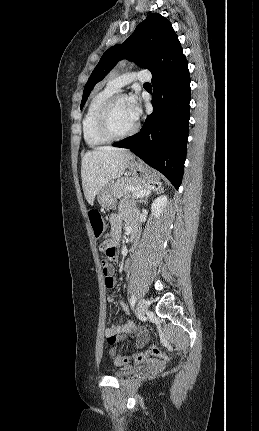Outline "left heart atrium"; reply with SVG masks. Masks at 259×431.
Masks as SVG:
<instances>
[{
    "mask_svg": "<svg viewBox=\"0 0 259 431\" xmlns=\"http://www.w3.org/2000/svg\"><path fill=\"white\" fill-rule=\"evenodd\" d=\"M127 107L134 120H137L141 115V106L137 95H131L127 98Z\"/></svg>",
    "mask_w": 259,
    "mask_h": 431,
    "instance_id": "obj_1",
    "label": "left heart atrium"
}]
</instances>
